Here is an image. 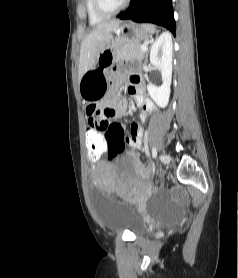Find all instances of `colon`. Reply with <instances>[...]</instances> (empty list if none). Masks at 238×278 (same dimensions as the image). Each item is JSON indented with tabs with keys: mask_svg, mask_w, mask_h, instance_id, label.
Segmentation results:
<instances>
[{
	"mask_svg": "<svg viewBox=\"0 0 238 278\" xmlns=\"http://www.w3.org/2000/svg\"><path fill=\"white\" fill-rule=\"evenodd\" d=\"M118 127V126H113ZM85 141L87 146V162H100L102 156L107 154L108 161H113L120 155L125 148L122 137H99L97 130H84Z\"/></svg>",
	"mask_w": 238,
	"mask_h": 278,
	"instance_id": "1",
	"label": "colon"
}]
</instances>
